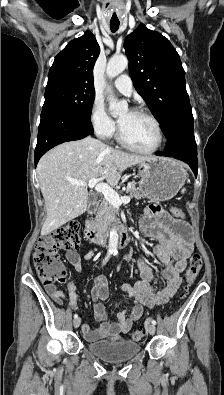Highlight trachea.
Instances as JSON below:
<instances>
[{"instance_id":"obj_1","label":"trachea","mask_w":224,"mask_h":395,"mask_svg":"<svg viewBox=\"0 0 224 395\" xmlns=\"http://www.w3.org/2000/svg\"><path fill=\"white\" fill-rule=\"evenodd\" d=\"M120 22L116 21V22H110V29L112 32H116L119 28Z\"/></svg>"}]
</instances>
